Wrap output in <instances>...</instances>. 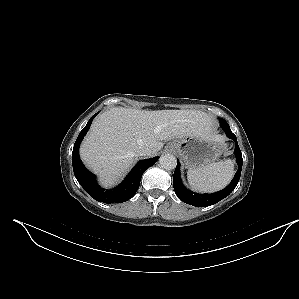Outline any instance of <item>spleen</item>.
Segmentation results:
<instances>
[{"mask_svg":"<svg viewBox=\"0 0 299 299\" xmlns=\"http://www.w3.org/2000/svg\"><path fill=\"white\" fill-rule=\"evenodd\" d=\"M234 175L232 160L214 162L209 165L190 168L187 179L192 189L199 192H214L224 188Z\"/></svg>","mask_w":299,"mask_h":299,"instance_id":"obj_1","label":"spleen"}]
</instances>
